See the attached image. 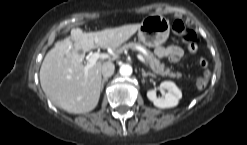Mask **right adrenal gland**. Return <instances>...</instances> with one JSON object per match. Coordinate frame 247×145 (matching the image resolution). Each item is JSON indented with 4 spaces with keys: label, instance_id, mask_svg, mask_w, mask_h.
<instances>
[{
    "label": "right adrenal gland",
    "instance_id": "obj_1",
    "mask_svg": "<svg viewBox=\"0 0 247 145\" xmlns=\"http://www.w3.org/2000/svg\"><path fill=\"white\" fill-rule=\"evenodd\" d=\"M108 80V78H103L101 82V90H103L104 83Z\"/></svg>",
    "mask_w": 247,
    "mask_h": 145
}]
</instances>
